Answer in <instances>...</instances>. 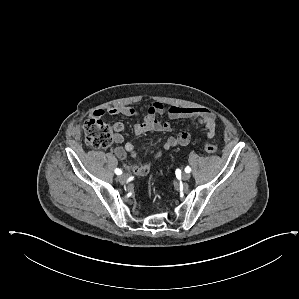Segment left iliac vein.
I'll return each instance as SVG.
<instances>
[{
    "instance_id": "left-iliac-vein-1",
    "label": "left iliac vein",
    "mask_w": 299,
    "mask_h": 299,
    "mask_svg": "<svg viewBox=\"0 0 299 299\" xmlns=\"http://www.w3.org/2000/svg\"><path fill=\"white\" fill-rule=\"evenodd\" d=\"M190 177H191V175H190L189 173H183V174H182V179H183L184 181L189 180Z\"/></svg>"
}]
</instances>
